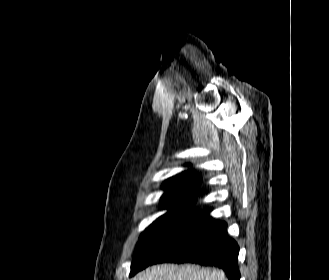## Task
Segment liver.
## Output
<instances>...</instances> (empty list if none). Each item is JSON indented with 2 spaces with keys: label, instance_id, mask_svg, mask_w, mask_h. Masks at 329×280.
Instances as JSON below:
<instances>
[{
  "label": "liver",
  "instance_id": "1",
  "mask_svg": "<svg viewBox=\"0 0 329 280\" xmlns=\"http://www.w3.org/2000/svg\"><path fill=\"white\" fill-rule=\"evenodd\" d=\"M135 280H224L218 270L201 269L196 265L162 264L148 268Z\"/></svg>",
  "mask_w": 329,
  "mask_h": 280
}]
</instances>
